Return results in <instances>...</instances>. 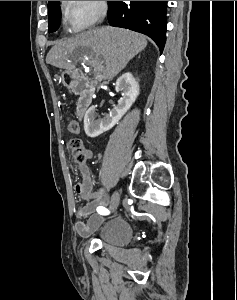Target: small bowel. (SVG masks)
Instances as JSON below:
<instances>
[{
	"label": "small bowel",
	"instance_id": "obj_1",
	"mask_svg": "<svg viewBox=\"0 0 237 300\" xmlns=\"http://www.w3.org/2000/svg\"><path fill=\"white\" fill-rule=\"evenodd\" d=\"M68 131L73 134L79 133V124L76 121H70L68 123ZM84 152L85 160L77 163L81 180L75 185V191L84 204L76 213L77 222L75 228L80 236L87 237L103 222L102 215L96 211L98 207H104L109 203L106 190L110 182L105 180L98 190L93 188L91 172L87 165V160L93 156V152L91 150H85ZM113 198L114 196L110 203Z\"/></svg>",
	"mask_w": 237,
	"mask_h": 300
}]
</instances>
